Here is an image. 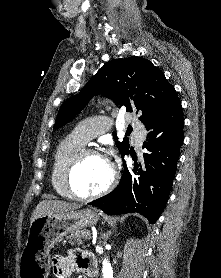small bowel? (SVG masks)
I'll list each match as a JSON object with an SVG mask.
<instances>
[{
  "label": "small bowel",
  "instance_id": "c3829d8e",
  "mask_svg": "<svg viewBox=\"0 0 221 278\" xmlns=\"http://www.w3.org/2000/svg\"><path fill=\"white\" fill-rule=\"evenodd\" d=\"M95 265L91 255L80 251L71 250L66 255H57L52 260V268L56 278H69L75 268L86 271Z\"/></svg>",
  "mask_w": 221,
  "mask_h": 278
}]
</instances>
